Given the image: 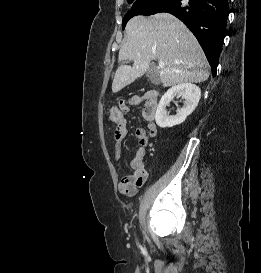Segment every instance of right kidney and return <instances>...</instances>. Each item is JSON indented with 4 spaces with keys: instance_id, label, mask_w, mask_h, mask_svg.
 Returning <instances> with one entry per match:
<instances>
[{
    "instance_id": "right-kidney-1",
    "label": "right kidney",
    "mask_w": 261,
    "mask_h": 273,
    "mask_svg": "<svg viewBox=\"0 0 261 273\" xmlns=\"http://www.w3.org/2000/svg\"><path fill=\"white\" fill-rule=\"evenodd\" d=\"M175 97L184 99V105L177 110L176 115L169 116L166 111V106ZM201 97V90L198 86L192 83H182L168 89L162 96L155 115V121L161 128L173 127L183 123L197 107Z\"/></svg>"
}]
</instances>
